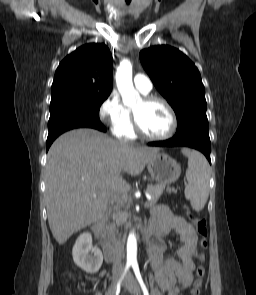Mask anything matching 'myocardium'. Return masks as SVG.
<instances>
[{"label": "myocardium", "instance_id": "1", "mask_svg": "<svg viewBox=\"0 0 256 295\" xmlns=\"http://www.w3.org/2000/svg\"><path fill=\"white\" fill-rule=\"evenodd\" d=\"M142 100L145 103H155L156 102V103L162 104L167 109V111L170 115L171 124H170V128L167 133L160 135V136L150 135V134L146 133L141 128V126L139 125V123L137 121L135 113L132 111V127H133L134 133L137 134L139 137L146 139V140H150V141H164V140L171 138L177 129V117H176L175 111H174L173 107L170 105V103L167 100H165L164 98L159 97V96H155V95L144 96L142 98Z\"/></svg>", "mask_w": 256, "mask_h": 295}]
</instances>
